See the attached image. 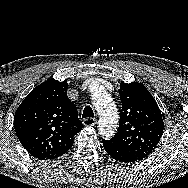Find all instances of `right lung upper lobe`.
I'll list each match as a JSON object with an SVG mask.
<instances>
[{"label":"right lung upper lobe","instance_id":"1","mask_svg":"<svg viewBox=\"0 0 188 188\" xmlns=\"http://www.w3.org/2000/svg\"><path fill=\"white\" fill-rule=\"evenodd\" d=\"M67 81L47 80L17 108L14 128L22 146L38 159L67 152L82 129L76 106L67 97Z\"/></svg>","mask_w":188,"mask_h":188}]
</instances>
